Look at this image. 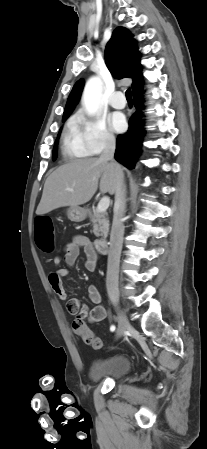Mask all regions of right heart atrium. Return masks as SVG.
<instances>
[{"label":"right heart atrium","mask_w":207,"mask_h":449,"mask_svg":"<svg viewBox=\"0 0 207 449\" xmlns=\"http://www.w3.org/2000/svg\"><path fill=\"white\" fill-rule=\"evenodd\" d=\"M77 125L81 139L90 155H98L116 143V137L101 117H88L80 113Z\"/></svg>","instance_id":"right-heart-atrium-1"}]
</instances>
